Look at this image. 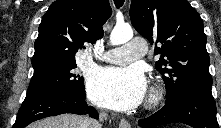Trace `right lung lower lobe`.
<instances>
[{
  "label": "right lung lower lobe",
  "mask_w": 221,
  "mask_h": 128,
  "mask_svg": "<svg viewBox=\"0 0 221 128\" xmlns=\"http://www.w3.org/2000/svg\"><path fill=\"white\" fill-rule=\"evenodd\" d=\"M85 99V93L59 87L26 95L13 128H24L33 121L63 113L89 114L97 119V111Z\"/></svg>",
  "instance_id": "obj_1"
}]
</instances>
